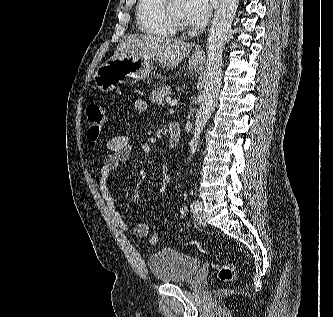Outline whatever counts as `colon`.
Masks as SVG:
<instances>
[{"mask_svg": "<svg viewBox=\"0 0 333 317\" xmlns=\"http://www.w3.org/2000/svg\"><path fill=\"white\" fill-rule=\"evenodd\" d=\"M87 131L86 140L90 146L97 144L105 120V108L99 103H91L86 109ZM149 242L152 245L158 243V234L151 233ZM217 278L224 283H229L235 278V268L231 262H225L217 270Z\"/></svg>", "mask_w": 333, "mask_h": 317, "instance_id": "obj_1", "label": "colon"}]
</instances>
